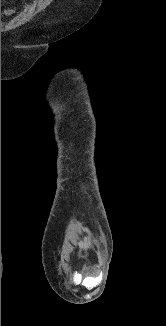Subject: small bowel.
Instances as JSON below:
<instances>
[{
  "mask_svg": "<svg viewBox=\"0 0 166 326\" xmlns=\"http://www.w3.org/2000/svg\"><path fill=\"white\" fill-rule=\"evenodd\" d=\"M15 12V9L13 7L6 8L2 11V15L9 16L12 15Z\"/></svg>",
  "mask_w": 166,
  "mask_h": 326,
  "instance_id": "obj_1",
  "label": "small bowel"
}]
</instances>
